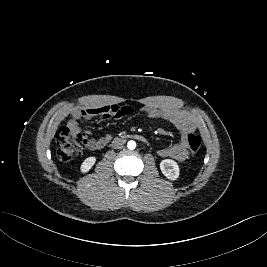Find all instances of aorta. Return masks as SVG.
Returning <instances> with one entry per match:
<instances>
[{"mask_svg":"<svg viewBox=\"0 0 267 267\" xmlns=\"http://www.w3.org/2000/svg\"><path fill=\"white\" fill-rule=\"evenodd\" d=\"M127 147H128V149H130V150L135 149V148H136V142L133 141V140L129 141V142L127 143Z\"/></svg>","mask_w":267,"mask_h":267,"instance_id":"obj_1","label":"aorta"}]
</instances>
